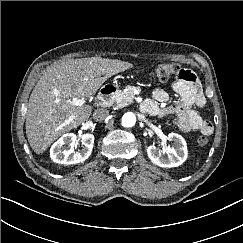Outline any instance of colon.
<instances>
[{
  "label": "colon",
  "instance_id": "obj_1",
  "mask_svg": "<svg viewBox=\"0 0 243 243\" xmlns=\"http://www.w3.org/2000/svg\"><path fill=\"white\" fill-rule=\"evenodd\" d=\"M190 70L183 69L177 63H167L159 65L154 72V77L159 82H166L172 77L178 79H186L190 77ZM197 143L200 146H205L208 143V138L206 136H200L197 139Z\"/></svg>",
  "mask_w": 243,
  "mask_h": 243
}]
</instances>
